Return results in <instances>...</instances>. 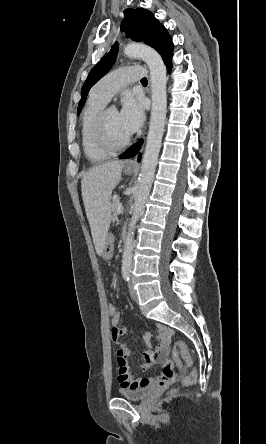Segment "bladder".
<instances>
[{
	"label": "bladder",
	"instance_id": "1",
	"mask_svg": "<svg viewBox=\"0 0 266 444\" xmlns=\"http://www.w3.org/2000/svg\"><path fill=\"white\" fill-rule=\"evenodd\" d=\"M153 389V386H144L136 389H122L120 390V395L131 401H142L150 395Z\"/></svg>",
	"mask_w": 266,
	"mask_h": 444
}]
</instances>
